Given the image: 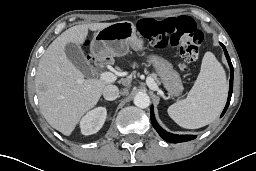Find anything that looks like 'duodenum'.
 I'll return each mask as SVG.
<instances>
[{
    "label": "duodenum",
    "mask_w": 256,
    "mask_h": 171,
    "mask_svg": "<svg viewBox=\"0 0 256 171\" xmlns=\"http://www.w3.org/2000/svg\"><path fill=\"white\" fill-rule=\"evenodd\" d=\"M96 65L103 66L108 62V59L98 58L95 60Z\"/></svg>",
    "instance_id": "1"
}]
</instances>
